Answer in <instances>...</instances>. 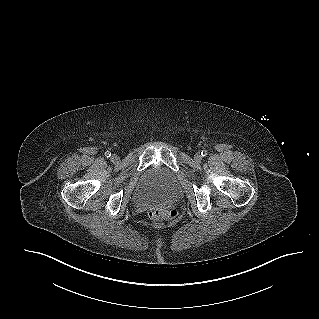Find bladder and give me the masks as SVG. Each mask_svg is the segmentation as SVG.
I'll return each instance as SVG.
<instances>
[{"mask_svg": "<svg viewBox=\"0 0 319 319\" xmlns=\"http://www.w3.org/2000/svg\"><path fill=\"white\" fill-rule=\"evenodd\" d=\"M180 190L176 175L163 166H157L142 175L134 198L138 204L156 206L176 199Z\"/></svg>", "mask_w": 319, "mask_h": 319, "instance_id": "31cf9c89", "label": "bladder"}]
</instances>
